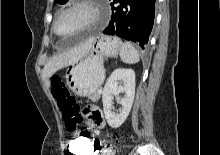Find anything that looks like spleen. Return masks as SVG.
Segmentation results:
<instances>
[{"label":"spleen","mask_w":220,"mask_h":155,"mask_svg":"<svg viewBox=\"0 0 220 155\" xmlns=\"http://www.w3.org/2000/svg\"><path fill=\"white\" fill-rule=\"evenodd\" d=\"M120 57L126 64H135L140 60L138 51L130 42H124L121 44Z\"/></svg>","instance_id":"obj_1"}]
</instances>
